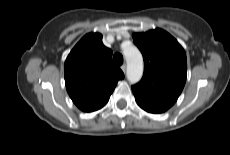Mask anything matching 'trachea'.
<instances>
[{
	"mask_svg": "<svg viewBox=\"0 0 230 155\" xmlns=\"http://www.w3.org/2000/svg\"><path fill=\"white\" fill-rule=\"evenodd\" d=\"M113 61L117 66H120L123 63V56L120 53H116L113 56Z\"/></svg>",
	"mask_w": 230,
	"mask_h": 155,
	"instance_id": "trachea-1",
	"label": "trachea"
}]
</instances>
